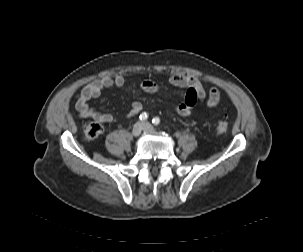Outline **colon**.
<instances>
[{
    "label": "colon",
    "instance_id": "obj_1",
    "mask_svg": "<svg viewBox=\"0 0 303 252\" xmlns=\"http://www.w3.org/2000/svg\"><path fill=\"white\" fill-rule=\"evenodd\" d=\"M216 129L219 133H226L228 131V123L224 119H220L216 123ZM103 126L99 122H91L87 124L85 129V137L88 140H93L98 138L103 134Z\"/></svg>",
    "mask_w": 303,
    "mask_h": 252
}]
</instances>
